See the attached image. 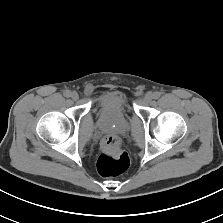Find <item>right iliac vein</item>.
Instances as JSON below:
<instances>
[{
    "mask_svg": "<svg viewBox=\"0 0 223 223\" xmlns=\"http://www.w3.org/2000/svg\"><path fill=\"white\" fill-rule=\"evenodd\" d=\"M71 98H72L73 100H78V98H79L78 93L75 92V91H73V92L71 93Z\"/></svg>",
    "mask_w": 223,
    "mask_h": 223,
    "instance_id": "obj_1",
    "label": "right iliac vein"
}]
</instances>
